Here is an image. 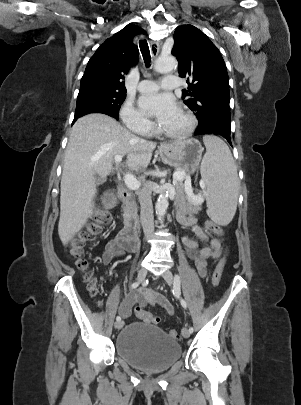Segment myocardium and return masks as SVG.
Instances as JSON below:
<instances>
[{
	"instance_id": "obj_1",
	"label": "myocardium",
	"mask_w": 301,
	"mask_h": 405,
	"mask_svg": "<svg viewBox=\"0 0 301 405\" xmlns=\"http://www.w3.org/2000/svg\"><path fill=\"white\" fill-rule=\"evenodd\" d=\"M181 113L187 120V126L185 129H183L182 131H179V132H170V131H166L163 128L159 127L158 132L161 135H163L167 138H170V139H174V140L185 139V138L189 137L190 135H192V133L195 131V129L197 127V119H196L195 115L188 110H183V111H181Z\"/></svg>"
}]
</instances>
